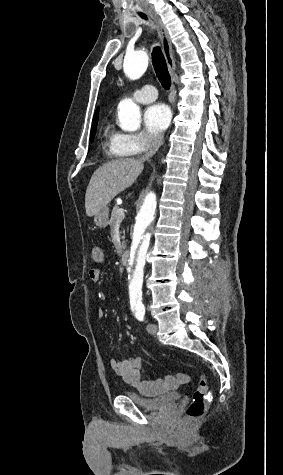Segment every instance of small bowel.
<instances>
[{
  "label": "small bowel",
  "mask_w": 283,
  "mask_h": 475,
  "mask_svg": "<svg viewBox=\"0 0 283 475\" xmlns=\"http://www.w3.org/2000/svg\"><path fill=\"white\" fill-rule=\"evenodd\" d=\"M101 270L98 268H93L89 271V278L92 282L97 283L101 279ZM97 315L99 318H104L106 316V312L104 309L99 308L97 311ZM110 366L112 370L119 375L126 383L130 384L131 386L137 389H143L145 387V381L142 380L140 370L142 367V359L139 356H132L124 360H120L117 358H112L110 360ZM167 382L172 383L173 379L172 374H167ZM178 382L182 384H186L189 382H184L187 378V373L185 371H180L178 373ZM155 384L160 385L164 383V378L157 376L154 379Z\"/></svg>",
  "instance_id": "c3829d8e"
}]
</instances>
